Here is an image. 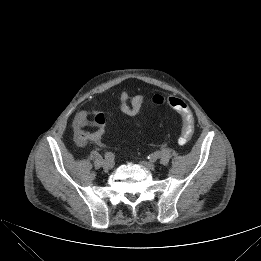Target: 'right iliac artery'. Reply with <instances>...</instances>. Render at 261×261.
I'll list each match as a JSON object with an SVG mask.
<instances>
[{
  "label": "right iliac artery",
  "instance_id": "1",
  "mask_svg": "<svg viewBox=\"0 0 261 261\" xmlns=\"http://www.w3.org/2000/svg\"><path fill=\"white\" fill-rule=\"evenodd\" d=\"M104 158H105L108 162L113 163L114 160H115V155H114L112 152H106V153L104 154Z\"/></svg>",
  "mask_w": 261,
  "mask_h": 261
}]
</instances>
